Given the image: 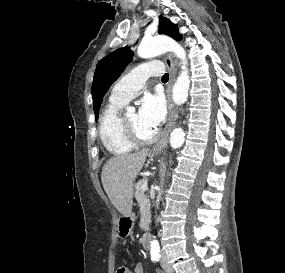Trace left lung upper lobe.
Wrapping results in <instances>:
<instances>
[{"instance_id":"left-lung-upper-lobe-1","label":"left lung upper lobe","mask_w":285,"mask_h":273,"mask_svg":"<svg viewBox=\"0 0 285 273\" xmlns=\"http://www.w3.org/2000/svg\"><path fill=\"white\" fill-rule=\"evenodd\" d=\"M159 18V34L169 35L176 40L182 39V36L178 32L177 25L161 16ZM132 56L131 50L128 47H123L110 53L98 63L91 88L96 121L98 119L99 107L103 96L112 83L123 72L125 66L131 62Z\"/></svg>"}]
</instances>
